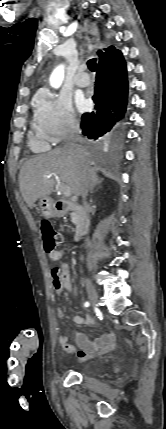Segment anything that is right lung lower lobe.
Returning a JSON list of instances; mask_svg holds the SVG:
<instances>
[{
	"label": "right lung lower lobe",
	"mask_w": 166,
	"mask_h": 429,
	"mask_svg": "<svg viewBox=\"0 0 166 429\" xmlns=\"http://www.w3.org/2000/svg\"><path fill=\"white\" fill-rule=\"evenodd\" d=\"M94 111L84 113L81 129L89 139H100L117 131L127 107L128 81L125 60L117 50L113 56L98 61Z\"/></svg>",
	"instance_id": "obj_1"
}]
</instances>
